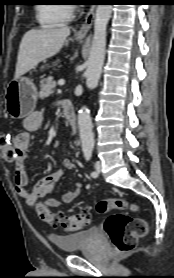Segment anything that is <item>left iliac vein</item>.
<instances>
[{"label": "left iliac vein", "instance_id": "left-iliac-vein-1", "mask_svg": "<svg viewBox=\"0 0 174 278\" xmlns=\"http://www.w3.org/2000/svg\"><path fill=\"white\" fill-rule=\"evenodd\" d=\"M95 169L96 172L99 174L101 172V162L100 161H96L95 163Z\"/></svg>", "mask_w": 174, "mask_h": 278}]
</instances>
